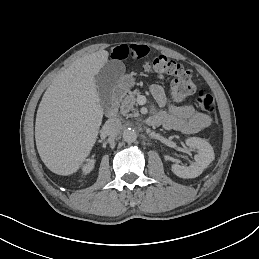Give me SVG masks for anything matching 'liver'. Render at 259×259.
Masks as SVG:
<instances>
[{
    "label": "liver",
    "instance_id": "obj_1",
    "mask_svg": "<svg viewBox=\"0 0 259 259\" xmlns=\"http://www.w3.org/2000/svg\"><path fill=\"white\" fill-rule=\"evenodd\" d=\"M109 53L84 54L58 74L45 91L35 123L38 153L52 172H76L96 142L103 108L95 75L107 63Z\"/></svg>",
    "mask_w": 259,
    "mask_h": 259
}]
</instances>
